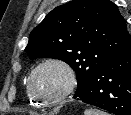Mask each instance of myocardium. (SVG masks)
Here are the masks:
<instances>
[{"label": "myocardium", "mask_w": 131, "mask_h": 115, "mask_svg": "<svg viewBox=\"0 0 131 115\" xmlns=\"http://www.w3.org/2000/svg\"><path fill=\"white\" fill-rule=\"evenodd\" d=\"M47 66H56L58 68H60L64 75H65V85L63 87V89L54 97L51 98H41L39 95H37L34 90H33V86H32V80L35 76V74L41 70L44 67ZM76 86V74L74 69L72 68V66L66 62L63 59L60 58H47L43 61H41L40 63H38L30 72L28 78H27V82H26V88L27 91L29 93V95L38 103H40L43 106H54L58 103H60L61 101H63L64 99H66L74 90Z\"/></svg>", "instance_id": "obj_1"}]
</instances>
